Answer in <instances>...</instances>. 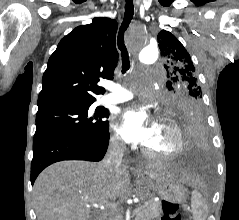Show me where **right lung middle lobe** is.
Instances as JSON below:
<instances>
[{"instance_id":"1","label":"right lung middle lobe","mask_w":239,"mask_h":220,"mask_svg":"<svg viewBox=\"0 0 239 220\" xmlns=\"http://www.w3.org/2000/svg\"><path fill=\"white\" fill-rule=\"evenodd\" d=\"M90 106H57L38 110L34 139L49 136L104 138L109 122L102 118L109 116L108 110L103 107L91 109Z\"/></svg>"}]
</instances>
